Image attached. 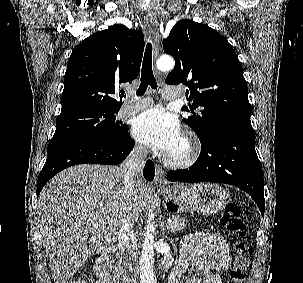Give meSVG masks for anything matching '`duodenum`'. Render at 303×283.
Wrapping results in <instances>:
<instances>
[{"label": "duodenum", "mask_w": 303, "mask_h": 283, "mask_svg": "<svg viewBox=\"0 0 303 283\" xmlns=\"http://www.w3.org/2000/svg\"><path fill=\"white\" fill-rule=\"evenodd\" d=\"M98 265L107 270L109 268L113 275L111 276L112 283H125V274L120 264V256L116 249H109L105 252L102 260L99 261ZM169 268V260H164L162 262V269L167 271ZM169 280V283H172Z\"/></svg>", "instance_id": "duodenum-1"}]
</instances>
